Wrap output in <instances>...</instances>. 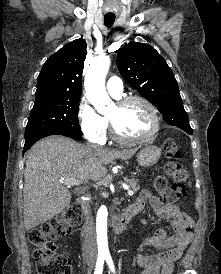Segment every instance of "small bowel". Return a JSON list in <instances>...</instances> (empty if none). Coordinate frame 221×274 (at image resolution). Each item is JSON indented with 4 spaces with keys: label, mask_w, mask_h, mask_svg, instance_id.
Listing matches in <instances>:
<instances>
[{
    "label": "small bowel",
    "mask_w": 221,
    "mask_h": 274,
    "mask_svg": "<svg viewBox=\"0 0 221 274\" xmlns=\"http://www.w3.org/2000/svg\"><path fill=\"white\" fill-rule=\"evenodd\" d=\"M146 203L151 205L160 219L170 220L169 226L174 234L169 236L168 226L162 225L141 244L136 257L138 265L143 269L140 274H172L174 262L192 240L193 221L178 206L165 204L148 188L141 191L132 206L139 213ZM148 247L160 251L146 254L145 249Z\"/></svg>",
    "instance_id": "small-bowel-1"
}]
</instances>
